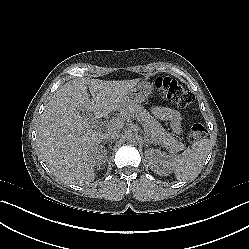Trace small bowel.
Returning <instances> with one entry per match:
<instances>
[{
  "label": "small bowel",
  "instance_id": "1",
  "mask_svg": "<svg viewBox=\"0 0 249 249\" xmlns=\"http://www.w3.org/2000/svg\"><path fill=\"white\" fill-rule=\"evenodd\" d=\"M153 114L164 121L169 122L174 131L179 130L178 118L179 113L175 110L166 107H157L152 109Z\"/></svg>",
  "mask_w": 249,
  "mask_h": 249
}]
</instances>
